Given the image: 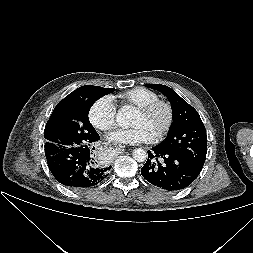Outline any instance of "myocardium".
I'll return each instance as SVG.
<instances>
[{
  "label": "myocardium",
  "mask_w": 253,
  "mask_h": 253,
  "mask_svg": "<svg viewBox=\"0 0 253 253\" xmlns=\"http://www.w3.org/2000/svg\"><path fill=\"white\" fill-rule=\"evenodd\" d=\"M163 107L167 112V121L163 129L154 137L156 140H160L164 138L172 129L174 120H175V112L172 104L165 100H155L150 103L144 104L142 106L136 107V111L142 114H148L154 111L156 108Z\"/></svg>",
  "instance_id": "myocardium-1"
}]
</instances>
